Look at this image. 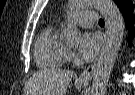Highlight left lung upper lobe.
<instances>
[{"instance_id":"left-lung-upper-lobe-1","label":"left lung upper lobe","mask_w":135,"mask_h":95,"mask_svg":"<svg viewBox=\"0 0 135 95\" xmlns=\"http://www.w3.org/2000/svg\"><path fill=\"white\" fill-rule=\"evenodd\" d=\"M114 1L119 7V9H123L132 4L130 0H114Z\"/></svg>"}]
</instances>
